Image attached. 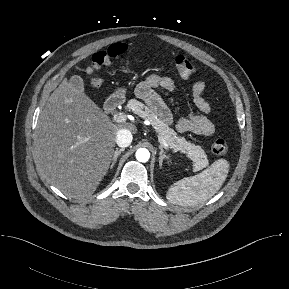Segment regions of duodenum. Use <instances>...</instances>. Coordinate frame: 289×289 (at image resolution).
<instances>
[{"mask_svg": "<svg viewBox=\"0 0 289 289\" xmlns=\"http://www.w3.org/2000/svg\"><path fill=\"white\" fill-rule=\"evenodd\" d=\"M121 104H122V98L119 95H112L105 102V110L107 113H112Z\"/></svg>", "mask_w": 289, "mask_h": 289, "instance_id": "410a0bca", "label": "duodenum"}]
</instances>
